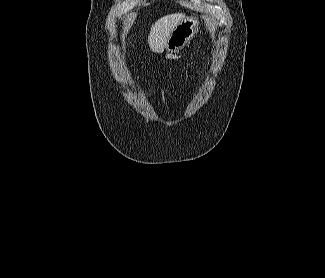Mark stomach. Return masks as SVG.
Instances as JSON below:
<instances>
[{"mask_svg": "<svg viewBox=\"0 0 325 278\" xmlns=\"http://www.w3.org/2000/svg\"><path fill=\"white\" fill-rule=\"evenodd\" d=\"M199 20L196 17H184L173 29L165 46L168 53H177L190 43L198 31Z\"/></svg>", "mask_w": 325, "mask_h": 278, "instance_id": "0dacf381", "label": "stomach"}]
</instances>
